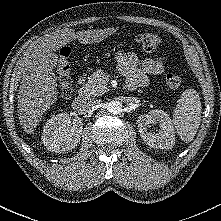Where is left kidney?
Returning a JSON list of instances; mask_svg holds the SVG:
<instances>
[{
	"instance_id": "5707ae66",
	"label": "left kidney",
	"mask_w": 221,
	"mask_h": 221,
	"mask_svg": "<svg viewBox=\"0 0 221 221\" xmlns=\"http://www.w3.org/2000/svg\"><path fill=\"white\" fill-rule=\"evenodd\" d=\"M159 123V133L147 131V124ZM137 125L142 140L152 148L171 149L175 143V134L172 120L162 110H151L148 114L140 115Z\"/></svg>"
}]
</instances>
